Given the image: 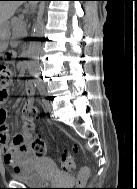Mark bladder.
<instances>
[{
  "mask_svg": "<svg viewBox=\"0 0 137 189\" xmlns=\"http://www.w3.org/2000/svg\"><path fill=\"white\" fill-rule=\"evenodd\" d=\"M58 174L55 161L50 157H39L36 164L13 171L12 178L27 185L40 186L49 183Z\"/></svg>",
  "mask_w": 137,
  "mask_h": 189,
  "instance_id": "1",
  "label": "bladder"
}]
</instances>
